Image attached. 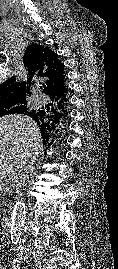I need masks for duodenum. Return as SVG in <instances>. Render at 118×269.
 <instances>
[{
	"instance_id": "1",
	"label": "duodenum",
	"mask_w": 118,
	"mask_h": 269,
	"mask_svg": "<svg viewBox=\"0 0 118 269\" xmlns=\"http://www.w3.org/2000/svg\"><path fill=\"white\" fill-rule=\"evenodd\" d=\"M2 223L6 229L10 228L12 224V216L10 213L4 215V217L2 218Z\"/></svg>"
}]
</instances>
